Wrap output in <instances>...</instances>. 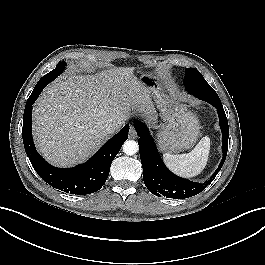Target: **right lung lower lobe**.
<instances>
[{"instance_id": "right-lung-lower-lobe-1", "label": "right lung lower lobe", "mask_w": 265, "mask_h": 265, "mask_svg": "<svg viewBox=\"0 0 265 265\" xmlns=\"http://www.w3.org/2000/svg\"><path fill=\"white\" fill-rule=\"evenodd\" d=\"M48 83V79L41 78L25 106L22 137L26 154L37 174L52 187L70 194L84 195L96 192L105 183L113 159L128 138L129 125H125L86 163L65 169L53 167L37 153L31 130L32 105Z\"/></svg>"}]
</instances>
